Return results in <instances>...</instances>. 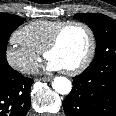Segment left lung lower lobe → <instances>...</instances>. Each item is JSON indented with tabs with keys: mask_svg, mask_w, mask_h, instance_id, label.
<instances>
[{
	"mask_svg": "<svg viewBox=\"0 0 116 116\" xmlns=\"http://www.w3.org/2000/svg\"><path fill=\"white\" fill-rule=\"evenodd\" d=\"M62 104L66 116H116V68L73 77L72 90Z\"/></svg>",
	"mask_w": 116,
	"mask_h": 116,
	"instance_id": "obj_1",
	"label": "left lung lower lobe"
}]
</instances>
